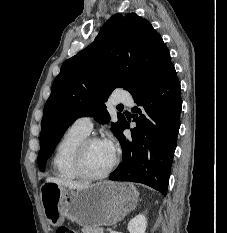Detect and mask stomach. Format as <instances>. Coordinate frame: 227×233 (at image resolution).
Returning a JSON list of instances; mask_svg holds the SVG:
<instances>
[{
  "label": "stomach",
  "mask_w": 227,
  "mask_h": 233,
  "mask_svg": "<svg viewBox=\"0 0 227 233\" xmlns=\"http://www.w3.org/2000/svg\"><path fill=\"white\" fill-rule=\"evenodd\" d=\"M47 222L56 227L65 219L82 226H111L131 212L139 193L133 184L104 181L80 190L45 182L40 190Z\"/></svg>",
  "instance_id": "obj_1"
}]
</instances>
